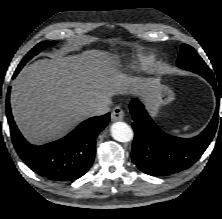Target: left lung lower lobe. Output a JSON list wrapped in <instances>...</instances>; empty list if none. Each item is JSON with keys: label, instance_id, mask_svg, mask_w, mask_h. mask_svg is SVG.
<instances>
[{"label": "left lung lower lobe", "instance_id": "obj_1", "mask_svg": "<svg viewBox=\"0 0 222 219\" xmlns=\"http://www.w3.org/2000/svg\"><path fill=\"white\" fill-rule=\"evenodd\" d=\"M210 70V69H209ZM213 86L217 107L216 112L198 136L190 139L171 136L163 132L150 118L143 104L134 98L130 103L135 137L132 146V161L144 173L165 176L180 172L192 166L204 153L213 139L219 119V101L222 90L216 85L212 71H197Z\"/></svg>", "mask_w": 222, "mask_h": 219}]
</instances>
